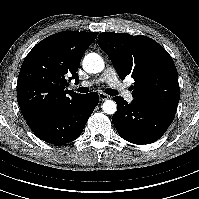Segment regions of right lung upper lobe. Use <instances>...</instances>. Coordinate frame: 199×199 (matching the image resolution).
I'll list each match as a JSON object with an SVG mask.
<instances>
[{
	"label": "right lung upper lobe",
	"instance_id": "right-lung-upper-lobe-1",
	"mask_svg": "<svg viewBox=\"0 0 199 199\" xmlns=\"http://www.w3.org/2000/svg\"><path fill=\"white\" fill-rule=\"evenodd\" d=\"M97 35L98 32H59L45 38L29 52L17 82V101L26 121L81 96L66 87L69 80L79 81L77 71L81 58Z\"/></svg>",
	"mask_w": 199,
	"mask_h": 199
}]
</instances>
